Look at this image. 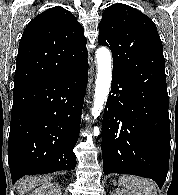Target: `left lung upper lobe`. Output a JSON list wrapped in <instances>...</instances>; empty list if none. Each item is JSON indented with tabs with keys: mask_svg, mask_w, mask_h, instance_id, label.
<instances>
[{
	"mask_svg": "<svg viewBox=\"0 0 178 195\" xmlns=\"http://www.w3.org/2000/svg\"><path fill=\"white\" fill-rule=\"evenodd\" d=\"M98 42L113 55V74L133 85L168 96L163 46L153 21L131 6L117 3L105 9Z\"/></svg>",
	"mask_w": 178,
	"mask_h": 195,
	"instance_id": "obj_1",
	"label": "left lung upper lobe"
}]
</instances>
